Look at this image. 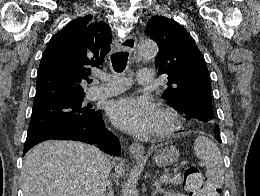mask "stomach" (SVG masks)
Here are the masks:
<instances>
[{"label":"stomach","instance_id":"1","mask_svg":"<svg viewBox=\"0 0 260 196\" xmlns=\"http://www.w3.org/2000/svg\"><path fill=\"white\" fill-rule=\"evenodd\" d=\"M179 156L180 154L175 146H167V148L154 150L152 160L156 166H172L177 162Z\"/></svg>","mask_w":260,"mask_h":196}]
</instances>
